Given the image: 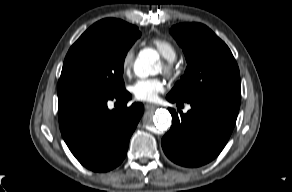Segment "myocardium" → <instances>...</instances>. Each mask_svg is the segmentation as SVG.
<instances>
[{
  "instance_id": "f54148a6",
  "label": "myocardium",
  "mask_w": 292,
  "mask_h": 192,
  "mask_svg": "<svg viewBox=\"0 0 292 192\" xmlns=\"http://www.w3.org/2000/svg\"><path fill=\"white\" fill-rule=\"evenodd\" d=\"M164 71L168 74H171L174 71V67L171 65V63H167L164 65Z\"/></svg>"
}]
</instances>
